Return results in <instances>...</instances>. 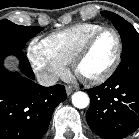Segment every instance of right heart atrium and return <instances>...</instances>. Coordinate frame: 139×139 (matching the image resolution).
Here are the masks:
<instances>
[{
  "label": "right heart atrium",
  "mask_w": 139,
  "mask_h": 139,
  "mask_svg": "<svg viewBox=\"0 0 139 139\" xmlns=\"http://www.w3.org/2000/svg\"><path fill=\"white\" fill-rule=\"evenodd\" d=\"M27 56L34 72L47 84L56 82L67 73V63L56 56L44 40H32Z\"/></svg>",
  "instance_id": "obj_1"
}]
</instances>
